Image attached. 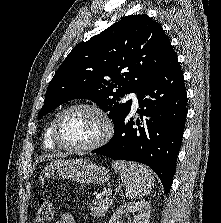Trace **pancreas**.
I'll return each instance as SVG.
<instances>
[{"label": "pancreas", "mask_w": 221, "mask_h": 223, "mask_svg": "<svg viewBox=\"0 0 221 223\" xmlns=\"http://www.w3.org/2000/svg\"><path fill=\"white\" fill-rule=\"evenodd\" d=\"M114 197L111 193H106L105 196L99 200L93 202V206H90L91 216L100 218L105 215L108 208L113 204Z\"/></svg>", "instance_id": "pancreas-1"}]
</instances>
